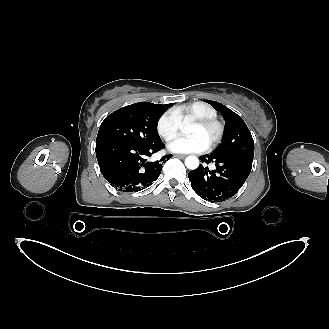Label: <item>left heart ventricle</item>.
<instances>
[{"mask_svg": "<svg viewBox=\"0 0 329 329\" xmlns=\"http://www.w3.org/2000/svg\"><path fill=\"white\" fill-rule=\"evenodd\" d=\"M187 134L189 136L198 135L205 141L207 145H209L215 137L216 130L213 127H201L195 124H191L187 129Z\"/></svg>", "mask_w": 329, "mask_h": 329, "instance_id": "1", "label": "left heart ventricle"}]
</instances>
